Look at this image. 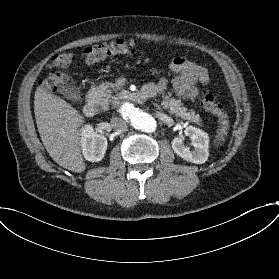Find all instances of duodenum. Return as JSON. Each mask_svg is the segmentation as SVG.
Listing matches in <instances>:
<instances>
[{
	"instance_id": "410a0bca",
	"label": "duodenum",
	"mask_w": 279,
	"mask_h": 279,
	"mask_svg": "<svg viewBox=\"0 0 279 279\" xmlns=\"http://www.w3.org/2000/svg\"><path fill=\"white\" fill-rule=\"evenodd\" d=\"M120 96L124 101L141 103L146 100L148 94L144 90L136 91V92L129 91V90H122L120 92ZM96 112H97V102L94 99H89L83 107V113L87 117H93L96 114Z\"/></svg>"
}]
</instances>
